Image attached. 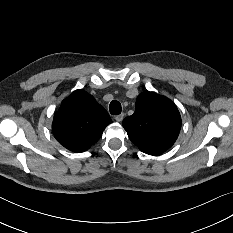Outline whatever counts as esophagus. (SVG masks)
<instances>
[{
	"label": "esophagus",
	"mask_w": 233,
	"mask_h": 233,
	"mask_svg": "<svg viewBox=\"0 0 233 233\" xmlns=\"http://www.w3.org/2000/svg\"><path fill=\"white\" fill-rule=\"evenodd\" d=\"M123 118H124V114L121 113V114H119V115H117V116L115 117V120H116L117 122H121V121L123 120Z\"/></svg>",
	"instance_id": "34e87169"
}]
</instances>
